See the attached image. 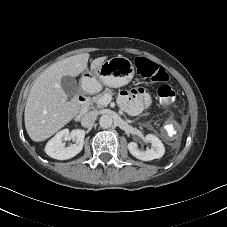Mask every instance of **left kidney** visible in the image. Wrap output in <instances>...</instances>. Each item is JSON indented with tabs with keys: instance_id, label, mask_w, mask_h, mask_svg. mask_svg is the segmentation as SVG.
<instances>
[{
	"instance_id": "obj_1",
	"label": "left kidney",
	"mask_w": 227,
	"mask_h": 227,
	"mask_svg": "<svg viewBox=\"0 0 227 227\" xmlns=\"http://www.w3.org/2000/svg\"><path fill=\"white\" fill-rule=\"evenodd\" d=\"M145 141L151 143V148H147L145 151L138 148L137 143L130 142L128 144L129 152L137 159L142 161H151L161 158L165 153V148L162 141L153 134H147Z\"/></svg>"
}]
</instances>
